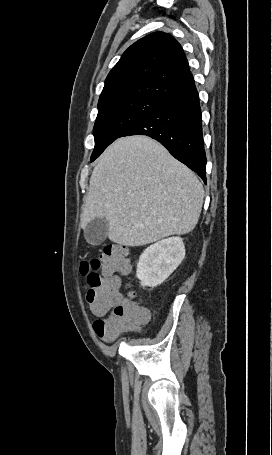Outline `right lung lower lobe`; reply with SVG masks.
<instances>
[{"label":"right lung lower lobe","instance_id":"98d812e1","mask_svg":"<svg viewBox=\"0 0 272 455\" xmlns=\"http://www.w3.org/2000/svg\"><path fill=\"white\" fill-rule=\"evenodd\" d=\"M137 134L159 141L206 183L201 108L195 84L165 100L157 109L125 130L120 137Z\"/></svg>","mask_w":272,"mask_h":455}]
</instances>
